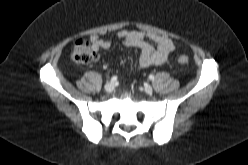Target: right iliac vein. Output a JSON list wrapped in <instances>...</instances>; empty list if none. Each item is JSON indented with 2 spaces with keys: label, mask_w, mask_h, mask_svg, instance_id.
<instances>
[{
  "label": "right iliac vein",
  "mask_w": 248,
  "mask_h": 165,
  "mask_svg": "<svg viewBox=\"0 0 248 165\" xmlns=\"http://www.w3.org/2000/svg\"><path fill=\"white\" fill-rule=\"evenodd\" d=\"M104 89H105V91H106L107 93H111V92L113 91V89H114V83L108 82V83L105 85Z\"/></svg>",
  "instance_id": "1"
}]
</instances>
